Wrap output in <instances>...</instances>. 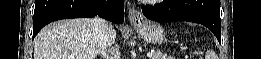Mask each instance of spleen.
<instances>
[{
    "instance_id": "1",
    "label": "spleen",
    "mask_w": 261,
    "mask_h": 59,
    "mask_svg": "<svg viewBox=\"0 0 261 59\" xmlns=\"http://www.w3.org/2000/svg\"><path fill=\"white\" fill-rule=\"evenodd\" d=\"M210 55H211V53H210V52H207V53H206V59H209Z\"/></svg>"
}]
</instances>
